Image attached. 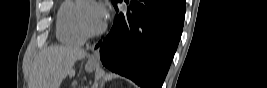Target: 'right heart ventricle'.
Segmentation results:
<instances>
[{
  "mask_svg": "<svg viewBox=\"0 0 267 88\" xmlns=\"http://www.w3.org/2000/svg\"><path fill=\"white\" fill-rule=\"evenodd\" d=\"M78 3L65 1L58 13L57 37L65 45L80 46L86 36L82 33L78 23Z\"/></svg>",
  "mask_w": 267,
  "mask_h": 88,
  "instance_id": "obj_1",
  "label": "right heart ventricle"
}]
</instances>
